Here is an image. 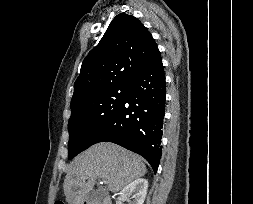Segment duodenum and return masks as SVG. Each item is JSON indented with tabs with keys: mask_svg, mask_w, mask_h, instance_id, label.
<instances>
[{
	"mask_svg": "<svg viewBox=\"0 0 253 204\" xmlns=\"http://www.w3.org/2000/svg\"><path fill=\"white\" fill-rule=\"evenodd\" d=\"M85 204H112L111 196L104 195L100 198L99 202L87 201Z\"/></svg>",
	"mask_w": 253,
	"mask_h": 204,
	"instance_id": "obj_1",
	"label": "duodenum"
}]
</instances>
